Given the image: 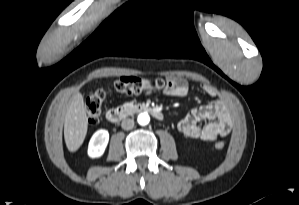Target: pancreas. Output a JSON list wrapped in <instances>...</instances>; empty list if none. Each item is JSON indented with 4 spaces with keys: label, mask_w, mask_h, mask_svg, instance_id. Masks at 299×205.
<instances>
[{
    "label": "pancreas",
    "mask_w": 299,
    "mask_h": 205,
    "mask_svg": "<svg viewBox=\"0 0 299 205\" xmlns=\"http://www.w3.org/2000/svg\"><path fill=\"white\" fill-rule=\"evenodd\" d=\"M125 105H126V106H129V105H131V104H130V103H125Z\"/></svg>",
    "instance_id": "1"
}]
</instances>
